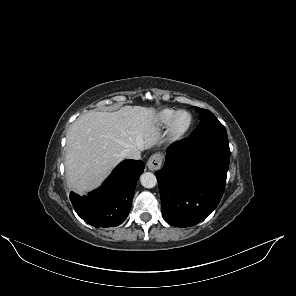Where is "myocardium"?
Wrapping results in <instances>:
<instances>
[{
	"label": "myocardium",
	"instance_id": "1",
	"mask_svg": "<svg viewBox=\"0 0 296 296\" xmlns=\"http://www.w3.org/2000/svg\"><path fill=\"white\" fill-rule=\"evenodd\" d=\"M183 114L187 115L188 121L185 125L181 126V125H179L178 120H179V117ZM192 124H193V117H192L191 113H189L186 110H179V111L175 112V114L173 115V117L168 125V129H167V133H166L167 140L171 144L181 141L183 139V137L190 130Z\"/></svg>",
	"mask_w": 296,
	"mask_h": 296
}]
</instances>
